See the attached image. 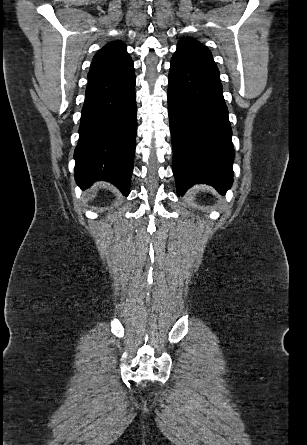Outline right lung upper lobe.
<instances>
[{"label":"right lung upper lobe","mask_w":307,"mask_h":445,"mask_svg":"<svg viewBox=\"0 0 307 445\" xmlns=\"http://www.w3.org/2000/svg\"><path fill=\"white\" fill-rule=\"evenodd\" d=\"M132 62L124 43L120 41L110 42L94 56L88 79L115 73Z\"/></svg>","instance_id":"right-lung-upper-lobe-1"}]
</instances>
